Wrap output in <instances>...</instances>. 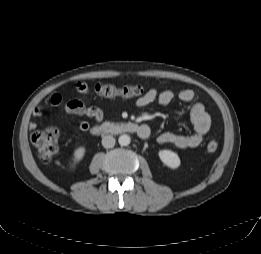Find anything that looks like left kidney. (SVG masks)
<instances>
[{
	"mask_svg": "<svg viewBox=\"0 0 261 254\" xmlns=\"http://www.w3.org/2000/svg\"><path fill=\"white\" fill-rule=\"evenodd\" d=\"M160 160L164 165L171 169H176L180 166V158L177 153L171 150H161L158 153Z\"/></svg>",
	"mask_w": 261,
	"mask_h": 254,
	"instance_id": "5707ae66",
	"label": "left kidney"
}]
</instances>
